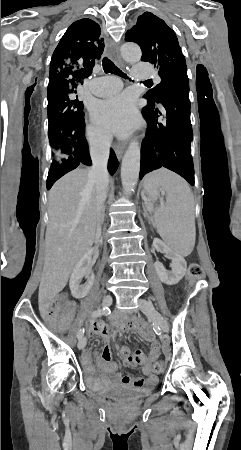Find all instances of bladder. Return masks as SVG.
<instances>
[{
	"label": "bladder",
	"instance_id": "1",
	"mask_svg": "<svg viewBox=\"0 0 241 450\" xmlns=\"http://www.w3.org/2000/svg\"><path fill=\"white\" fill-rule=\"evenodd\" d=\"M105 394L116 400H131L140 397V394L134 389L125 385H110L105 389Z\"/></svg>",
	"mask_w": 241,
	"mask_h": 450
}]
</instances>
